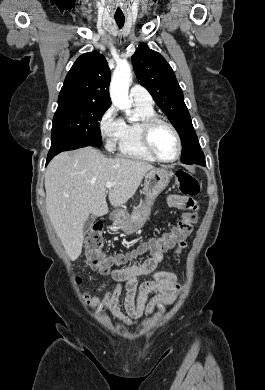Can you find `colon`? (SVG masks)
I'll list each match as a JSON object with an SVG mask.
<instances>
[{"label":"colon","instance_id":"1","mask_svg":"<svg viewBox=\"0 0 265 390\" xmlns=\"http://www.w3.org/2000/svg\"><path fill=\"white\" fill-rule=\"evenodd\" d=\"M176 183L185 196L194 197L200 192V184L197 178L189 172L183 170L178 171L176 174ZM196 219V210L183 213L176 226H174V229L169 232L168 236L158 238V244L155 249L163 248L169 240L179 241L185 239L192 231ZM103 243L102 225L96 223L90 229L86 237V256L88 264L92 268L98 269L102 274H107L110 271L113 261L107 258L103 253ZM152 251L153 250L150 252Z\"/></svg>","mask_w":265,"mask_h":390}]
</instances>
